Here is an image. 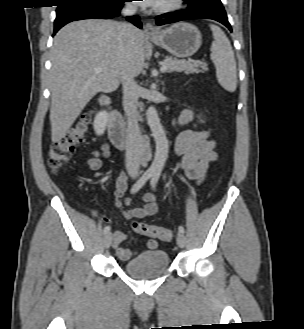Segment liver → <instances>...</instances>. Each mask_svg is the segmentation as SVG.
<instances>
[{
    "label": "liver",
    "mask_w": 304,
    "mask_h": 329,
    "mask_svg": "<svg viewBox=\"0 0 304 329\" xmlns=\"http://www.w3.org/2000/svg\"><path fill=\"white\" fill-rule=\"evenodd\" d=\"M120 23L89 19L64 26L51 48V140L59 142L98 92H112L121 81L123 64L138 76L145 61L144 36L133 29L126 43ZM100 68L101 72L95 69Z\"/></svg>",
    "instance_id": "liver-1"
}]
</instances>
